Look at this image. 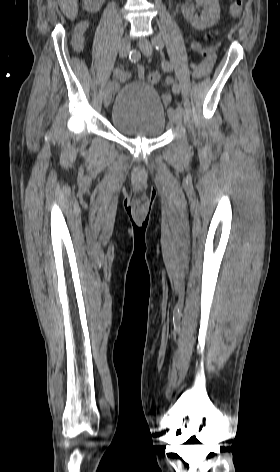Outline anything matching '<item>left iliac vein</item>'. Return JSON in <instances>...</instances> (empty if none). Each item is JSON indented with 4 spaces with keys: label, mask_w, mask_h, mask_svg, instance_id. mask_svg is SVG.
Wrapping results in <instances>:
<instances>
[{
    "label": "left iliac vein",
    "mask_w": 280,
    "mask_h": 472,
    "mask_svg": "<svg viewBox=\"0 0 280 472\" xmlns=\"http://www.w3.org/2000/svg\"><path fill=\"white\" fill-rule=\"evenodd\" d=\"M138 46H139L141 52L145 56L150 57L152 55L153 46H152V44L150 43L149 40L141 39L138 42ZM169 118H170L171 122L174 123L175 125H177V126L181 125L182 116H181V113L178 110L170 108L169 109Z\"/></svg>",
    "instance_id": "4c4485c4"
}]
</instances>
